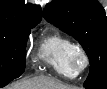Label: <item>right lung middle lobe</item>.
I'll return each instance as SVG.
<instances>
[{
  "mask_svg": "<svg viewBox=\"0 0 107 89\" xmlns=\"http://www.w3.org/2000/svg\"><path fill=\"white\" fill-rule=\"evenodd\" d=\"M31 28L0 23V87L24 72L25 47Z\"/></svg>",
  "mask_w": 107,
  "mask_h": 89,
  "instance_id": "dd1d6c3e",
  "label": "right lung middle lobe"
}]
</instances>
